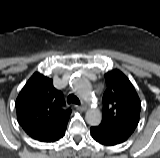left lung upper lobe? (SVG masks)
Returning a JSON list of instances; mask_svg holds the SVG:
<instances>
[{
	"mask_svg": "<svg viewBox=\"0 0 160 158\" xmlns=\"http://www.w3.org/2000/svg\"><path fill=\"white\" fill-rule=\"evenodd\" d=\"M105 81L101 125L130 136L138 125L141 111L137 92L130 80L117 69L107 72Z\"/></svg>",
	"mask_w": 160,
	"mask_h": 158,
	"instance_id": "5c2ea615",
	"label": "left lung upper lobe"
}]
</instances>
